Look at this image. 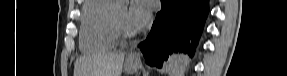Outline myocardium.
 <instances>
[{
  "mask_svg": "<svg viewBox=\"0 0 287 76\" xmlns=\"http://www.w3.org/2000/svg\"><path fill=\"white\" fill-rule=\"evenodd\" d=\"M110 21L114 32L119 38L130 39L137 35L135 30L128 29L118 20L114 10H111Z\"/></svg>",
  "mask_w": 287,
  "mask_h": 76,
  "instance_id": "f54148a6",
  "label": "myocardium"
}]
</instances>
